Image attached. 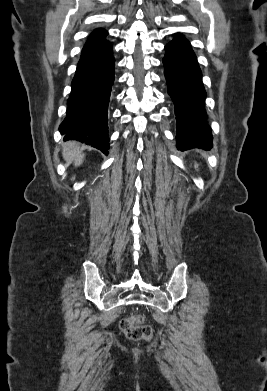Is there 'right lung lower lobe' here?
Masks as SVG:
<instances>
[{"label": "right lung lower lobe", "instance_id": "98d812e1", "mask_svg": "<svg viewBox=\"0 0 267 391\" xmlns=\"http://www.w3.org/2000/svg\"><path fill=\"white\" fill-rule=\"evenodd\" d=\"M114 66L111 43L81 55L67 100V116L59 128L65 140H78L108 153L107 111Z\"/></svg>", "mask_w": 267, "mask_h": 391}]
</instances>
